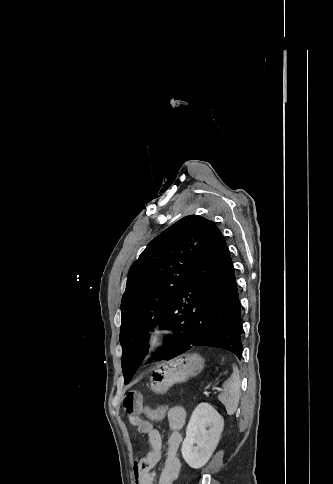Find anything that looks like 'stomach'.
Wrapping results in <instances>:
<instances>
[{
	"label": "stomach",
	"mask_w": 333,
	"mask_h": 484,
	"mask_svg": "<svg viewBox=\"0 0 333 484\" xmlns=\"http://www.w3.org/2000/svg\"><path fill=\"white\" fill-rule=\"evenodd\" d=\"M204 367V359L197 353H186L157 365L150 377L151 390L165 394L176 383L196 376Z\"/></svg>",
	"instance_id": "stomach-1"
}]
</instances>
